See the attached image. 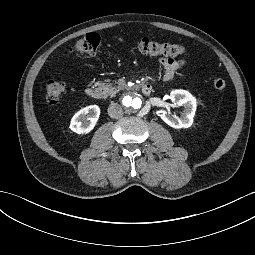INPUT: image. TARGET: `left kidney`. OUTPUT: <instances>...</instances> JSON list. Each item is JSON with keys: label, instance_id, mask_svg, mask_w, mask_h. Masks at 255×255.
<instances>
[{"label": "left kidney", "instance_id": "left-kidney-1", "mask_svg": "<svg viewBox=\"0 0 255 255\" xmlns=\"http://www.w3.org/2000/svg\"><path fill=\"white\" fill-rule=\"evenodd\" d=\"M170 99L172 102H175L177 106H183L184 111L181 117L172 116L169 112L163 111L160 116L161 119L166 124L176 129L190 127L193 124V118L197 107L196 98L188 91L178 89L171 91Z\"/></svg>", "mask_w": 255, "mask_h": 255}]
</instances>
